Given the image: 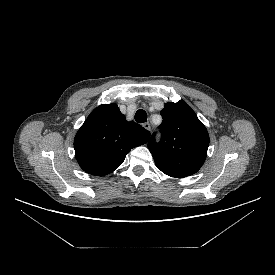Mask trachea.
Instances as JSON below:
<instances>
[{"mask_svg": "<svg viewBox=\"0 0 275 275\" xmlns=\"http://www.w3.org/2000/svg\"><path fill=\"white\" fill-rule=\"evenodd\" d=\"M135 121L138 123H144L147 121V113L143 109L137 110L135 114Z\"/></svg>", "mask_w": 275, "mask_h": 275, "instance_id": "1", "label": "trachea"}]
</instances>
